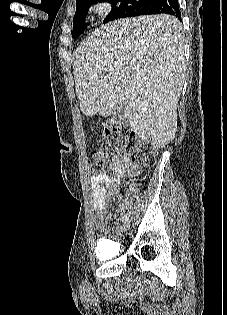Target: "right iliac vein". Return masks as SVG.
Segmentation results:
<instances>
[{
  "mask_svg": "<svg viewBox=\"0 0 227 315\" xmlns=\"http://www.w3.org/2000/svg\"><path fill=\"white\" fill-rule=\"evenodd\" d=\"M129 227V221H124L121 225H120V228L119 230L121 232H124L127 230V228Z\"/></svg>",
  "mask_w": 227,
  "mask_h": 315,
  "instance_id": "obj_1",
  "label": "right iliac vein"
}]
</instances>
